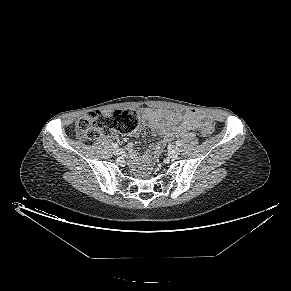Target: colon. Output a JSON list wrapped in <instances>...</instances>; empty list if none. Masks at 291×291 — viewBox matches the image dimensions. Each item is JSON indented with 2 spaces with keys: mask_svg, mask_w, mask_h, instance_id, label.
Masks as SVG:
<instances>
[{
  "mask_svg": "<svg viewBox=\"0 0 291 291\" xmlns=\"http://www.w3.org/2000/svg\"><path fill=\"white\" fill-rule=\"evenodd\" d=\"M140 116L135 110H115L110 113L91 111L77 121V133L84 140H95L102 135L127 134L139 125ZM214 131L211 122L201 127L202 135L208 137Z\"/></svg>",
  "mask_w": 291,
  "mask_h": 291,
  "instance_id": "5ec220e1",
  "label": "colon"
}]
</instances>
